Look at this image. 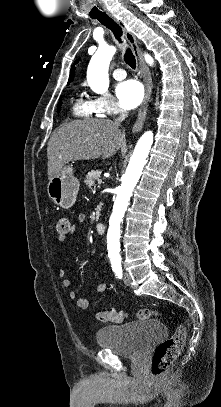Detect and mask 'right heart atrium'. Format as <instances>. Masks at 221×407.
Masks as SVG:
<instances>
[{"instance_id":"obj_1","label":"right heart atrium","mask_w":221,"mask_h":407,"mask_svg":"<svg viewBox=\"0 0 221 407\" xmlns=\"http://www.w3.org/2000/svg\"><path fill=\"white\" fill-rule=\"evenodd\" d=\"M91 102L94 111L103 116H113L125 111V109L111 97L98 96L95 97Z\"/></svg>"}]
</instances>
